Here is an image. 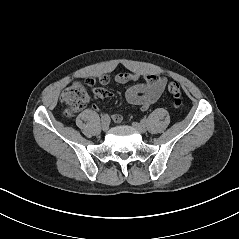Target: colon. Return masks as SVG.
<instances>
[{
  "instance_id": "colon-1",
  "label": "colon",
  "mask_w": 239,
  "mask_h": 239,
  "mask_svg": "<svg viewBox=\"0 0 239 239\" xmlns=\"http://www.w3.org/2000/svg\"><path fill=\"white\" fill-rule=\"evenodd\" d=\"M89 87H93L95 82L93 79H89L86 82ZM168 92L173 98V104L175 107L179 108L183 104V97L180 85L175 81H170L168 83ZM88 92L86 87L80 83L76 82L73 85L66 88L61 96L62 102L66 105V116H72L75 112L80 111L84 108L88 101Z\"/></svg>"
}]
</instances>
